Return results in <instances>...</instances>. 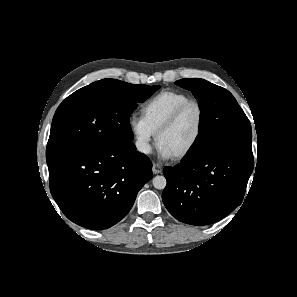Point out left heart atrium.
I'll use <instances>...</instances> for the list:
<instances>
[{
    "label": "left heart atrium",
    "mask_w": 297,
    "mask_h": 297,
    "mask_svg": "<svg viewBox=\"0 0 297 297\" xmlns=\"http://www.w3.org/2000/svg\"><path fill=\"white\" fill-rule=\"evenodd\" d=\"M158 152L163 159H169L174 155L161 143H158Z\"/></svg>",
    "instance_id": "obj_1"
}]
</instances>
